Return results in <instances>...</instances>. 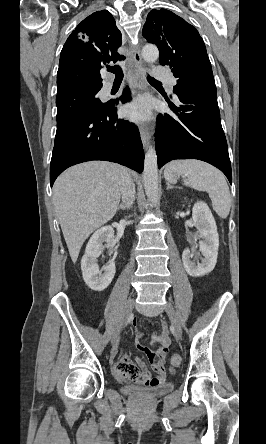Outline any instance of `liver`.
I'll return each instance as SVG.
<instances>
[{"label":"liver","instance_id":"1","mask_svg":"<svg viewBox=\"0 0 266 444\" xmlns=\"http://www.w3.org/2000/svg\"><path fill=\"white\" fill-rule=\"evenodd\" d=\"M126 174L118 164L91 161L70 167L55 181L53 203L73 263L87 237L116 214Z\"/></svg>","mask_w":266,"mask_h":444}]
</instances>
